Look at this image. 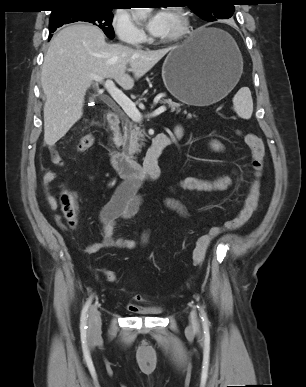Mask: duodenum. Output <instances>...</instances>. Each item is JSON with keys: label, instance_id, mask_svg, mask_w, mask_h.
Listing matches in <instances>:
<instances>
[{"label": "duodenum", "instance_id": "410a0bca", "mask_svg": "<svg viewBox=\"0 0 306 387\" xmlns=\"http://www.w3.org/2000/svg\"><path fill=\"white\" fill-rule=\"evenodd\" d=\"M108 125L111 130L109 139V160L114 171L123 179L139 183L142 180L155 181L161 175V169L158 159L163 150L180 136H169L165 133L157 134L149 147L144 160L138 161L135 157L125 156L117 151L115 139L120 130V117L118 114L111 112L107 116Z\"/></svg>", "mask_w": 306, "mask_h": 387}]
</instances>
